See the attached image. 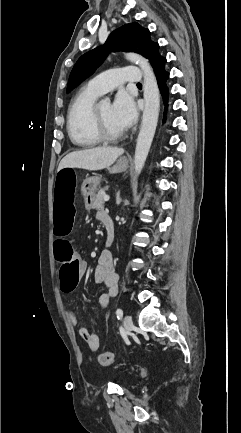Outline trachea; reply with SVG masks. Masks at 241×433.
<instances>
[{
	"instance_id": "1",
	"label": "trachea",
	"mask_w": 241,
	"mask_h": 433,
	"mask_svg": "<svg viewBox=\"0 0 241 433\" xmlns=\"http://www.w3.org/2000/svg\"><path fill=\"white\" fill-rule=\"evenodd\" d=\"M137 85H142L141 83H137Z\"/></svg>"
}]
</instances>
